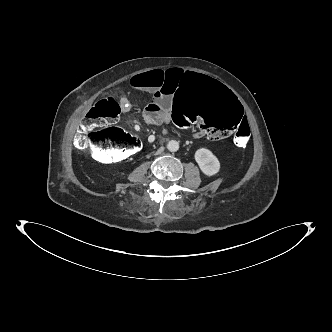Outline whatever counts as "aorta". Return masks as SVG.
<instances>
[{"label":"aorta","mask_w":332,"mask_h":332,"mask_svg":"<svg viewBox=\"0 0 332 332\" xmlns=\"http://www.w3.org/2000/svg\"><path fill=\"white\" fill-rule=\"evenodd\" d=\"M167 149L171 152H176L179 149V143L176 140H171L167 143Z\"/></svg>","instance_id":"762f6f07"}]
</instances>
